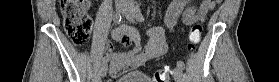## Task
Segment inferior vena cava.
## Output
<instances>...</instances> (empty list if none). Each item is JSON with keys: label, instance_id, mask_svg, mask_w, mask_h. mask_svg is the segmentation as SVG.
Segmentation results:
<instances>
[{"label": "inferior vena cava", "instance_id": "1", "mask_svg": "<svg viewBox=\"0 0 279 82\" xmlns=\"http://www.w3.org/2000/svg\"><path fill=\"white\" fill-rule=\"evenodd\" d=\"M121 2L124 4L125 6V11L126 12H131L133 9V2L132 0H121Z\"/></svg>", "mask_w": 279, "mask_h": 82}]
</instances>
